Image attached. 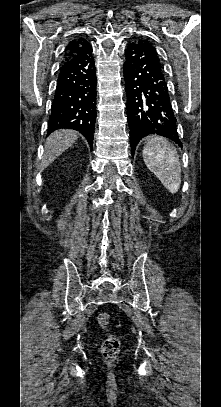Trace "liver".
Instances as JSON below:
<instances>
[{"label": "liver", "mask_w": 221, "mask_h": 407, "mask_svg": "<svg viewBox=\"0 0 221 407\" xmlns=\"http://www.w3.org/2000/svg\"><path fill=\"white\" fill-rule=\"evenodd\" d=\"M78 139V133L69 129L54 131L46 139L45 151L40 165V169L48 167L65 150L72 146Z\"/></svg>", "instance_id": "1"}]
</instances>
